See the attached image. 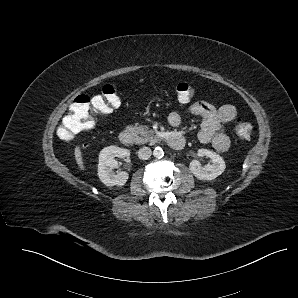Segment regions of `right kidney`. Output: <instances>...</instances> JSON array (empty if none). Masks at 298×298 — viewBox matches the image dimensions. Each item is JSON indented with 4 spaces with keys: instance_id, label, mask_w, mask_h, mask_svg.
<instances>
[{
    "instance_id": "1",
    "label": "right kidney",
    "mask_w": 298,
    "mask_h": 298,
    "mask_svg": "<svg viewBox=\"0 0 298 298\" xmlns=\"http://www.w3.org/2000/svg\"><path fill=\"white\" fill-rule=\"evenodd\" d=\"M130 150L118 146H108L103 148L99 153L98 176L100 181L106 186L124 185L129 177L125 171L115 173L114 168L118 167L115 157L128 158Z\"/></svg>"
}]
</instances>
